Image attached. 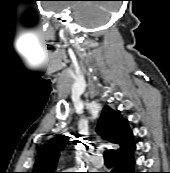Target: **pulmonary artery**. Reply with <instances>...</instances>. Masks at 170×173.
<instances>
[{
	"label": "pulmonary artery",
	"instance_id": "e3ab8cb5",
	"mask_svg": "<svg viewBox=\"0 0 170 173\" xmlns=\"http://www.w3.org/2000/svg\"><path fill=\"white\" fill-rule=\"evenodd\" d=\"M91 163L95 167H102L104 165V160L101 157L98 156H92Z\"/></svg>",
	"mask_w": 170,
	"mask_h": 173
}]
</instances>
